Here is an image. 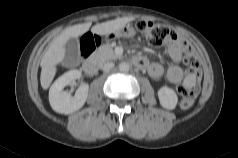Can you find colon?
I'll return each instance as SVG.
<instances>
[{
	"instance_id": "1",
	"label": "colon",
	"mask_w": 238,
	"mask_h": 158,
	"mask_svg": "<svg viewBox=\"0 0 238 158\" xmlns=\"http://www.w3.org/2000/svg\"><path fill=\"white\" fill-rule=\"evenodd\" d=\"M137 30L144 36L147 42L153 47H159L164 42L172 39L175 34L165 25L157 24L151 21L139 20L136 22ZM100 39L93 35H86L81 41V53L83 56L90 54L98 45ZM183 61L189 69L192 80L188 84L179 86L180 106L189 108L193 105L199 93V81L201 70L199 58L192 47L187 46L184 52Z\"/></svg>"
}]
</instances>
